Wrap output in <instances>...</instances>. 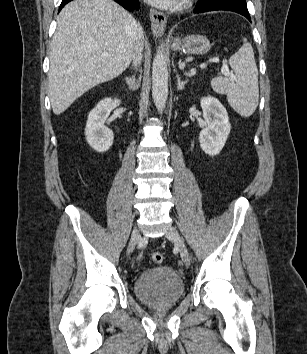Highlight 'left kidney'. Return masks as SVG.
<instances>
[{
	"label": "left kidney",
	"mask_w": 307,
	"mask_h": 354,
	"mask_svg": "<svg viewBox=\"0 0 307 354\" xmlns=\"http://www.w3.org/2000/svg\"><path fill=\"white\" fill-rule=\"evenodd\" d=\"M200 104L206 122L199 135L200 146L206 154L215 156L223 149L231 130L228 113L213 96L202 97Z\"/></svg>",
	"instance_id": "5707ae66"
}]
</instances>
